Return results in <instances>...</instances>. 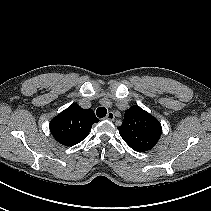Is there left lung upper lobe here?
Returning a JSON list of instances; mask_svg holds the SVG:
<instances>
[{"label": "left lung upper lobe", "mask_w": 211, "mask_h": 211, "mask_svg": "<svg viewBox=\"0 0 211 211\" xmlns=\"http://www.w3.org/2000/svg\"><path fill=\"white\" fill-rule=\"evenodd\" d=\"M118 130L123 140L137 152L152 149L162 133L160 122L138 105L126 110Z\"/></svg>", "instance_id": "5c2ea615"}]
</instances>
